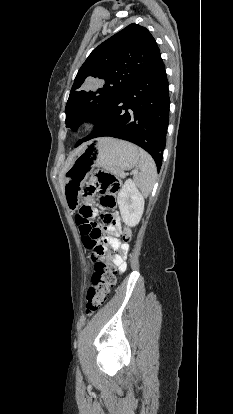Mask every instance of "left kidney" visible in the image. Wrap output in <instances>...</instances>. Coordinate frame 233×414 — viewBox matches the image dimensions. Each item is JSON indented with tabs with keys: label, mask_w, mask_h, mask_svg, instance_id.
I'll list each match as a JSON object with an SVG mask.
<instances>
[{
	"label": "left kidney",
	"mask_w": 233,
	"mask_h": 414,
	"mask_svg": "<svg viewBox=\"0 0 233 414\" xmlns=\"http://www.w3.org/2000/svg\"><path fill=\"white\" fill-rule=\"evenodd\" d=\"M123 222L131 227L136 226L144 211V197L133 180L125 181L117 198Z\"/></svg>",
	"instance_id": "obj_1"
}]
</instances>
